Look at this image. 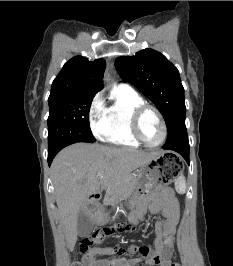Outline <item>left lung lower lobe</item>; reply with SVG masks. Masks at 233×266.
<instances>
[{
	"mask_svg": "<svg viewBox=\"0 0 233 266\" xmlns=\"http://www.w3.org/2000/svg\"><path fill=\"white\" fill-rule=\"evenodd\" d=\"M163 149L173 150L181 154L189 164V142L186 127L167 138Z\"/></svg>",
	"mask_w": 233,
	"mask_h": 266,
	"instance_id": "0a47b994",
	"label": "left lung lower lobe"
}]
</instances>
